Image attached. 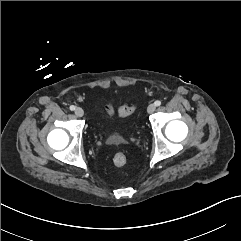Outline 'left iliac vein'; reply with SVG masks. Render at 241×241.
Here are the masks:
<instances>
[{
	"instance_id": "1",
	"label": "left iliac vein",
	"mask_w": 241,
	"mask_h": 241,
	"mask_svg": "<svg viewBox=\"0 0 241 241\" xmlns=\"http://www.w3.org/2000/svg\"><path fill=\"white\" fill-rule=\"evenodd\" d=\"M155 109H156V105L154 103H151L147 108V112L149 114H152L155 111Z\"/></svg>"
}]
</instances>
